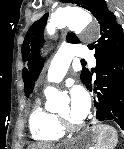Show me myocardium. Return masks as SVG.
<instances>
[{"instance_id":"f54148a6","label":"myocardium","mask_w":124,"mask_h":149,"mask_svg":"<svg viewBox=\"0 0 124 149\" xmlns=\"http://www.w3.org/2000/svg\"><path fill=\"white\" fill-rule=\"evenodd\" d=\"M55 116H56L57 123H58L59 127L63 131L72 132V131L79 130L83 126L82 121H80L78 123H73L69 119H67L65 116H63L59 113H55Z\"/></svg>"}]
</instances>
